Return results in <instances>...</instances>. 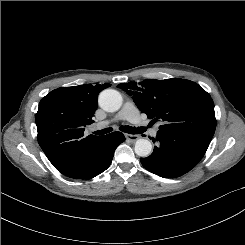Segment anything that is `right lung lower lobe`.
Masks as SVG:
<instances>
[{
  "label": "right lung lower lobe",
  "instance_id": "98d812e1",
  "mask_svg": "<svg viewBox=\"0 0 245 245\" xmlns=\"http://www.w3.org/2000/svg\"><path fill=\"white\" fill-rule=\"evenodd\" d=\"M124 140L125 136L121 132H113L103 136L91 152L85 164L70 172L64 173V175L77 179H90L99 175L110 166L115 149Z\"/></svg>",
  "mask_w": 245,
  "mask_h": 245
}]
</instances>
